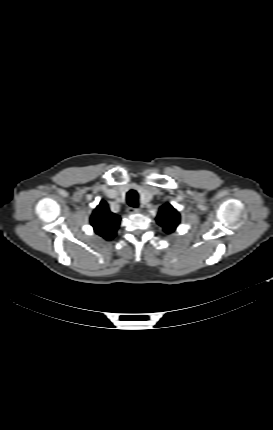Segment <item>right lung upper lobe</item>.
<instances>
[{
  "label": "right lung upper lobe",
  "instance_id": "obj_1",
  "mask_svg": "<svg viewBox=\"0 0 273 430\" xmlns=\"http://www.w3.org/2000/svg\"><path fill=\"white\" fill-rule=\"evenodd\" d=\"M91 225L95 232L106 240H111L120 224V217L110 212L106 202L101 201L91 215Z\"/></svg>",
  "mask_w": 273,
  "mask_h": 430
}]
</instances>
